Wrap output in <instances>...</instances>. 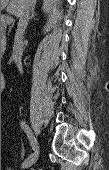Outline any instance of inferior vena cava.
Masks as SVG:
<instances>
[{
	"instance_id": "obj_1",
	"label": "inferior vena cava",
	"mask_w": 109,
	"mask_h": 170,
	"mask_svg": "<svg viewBox=\"0 0 109 170\" xmlns=\"http://www.w3.org/2000/svg\"><path fill=\"white\" fill-rule=\"evenodd\" d=\"M35 0H22L19 22L14 39L13 60L22 74L23 34L28 25L30 10Z\"/></svg>"
}]
</instances>
